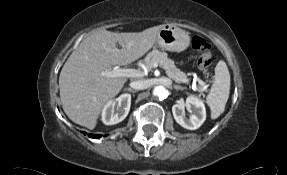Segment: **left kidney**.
<instances>
[{"label":"left kidney","instance_id":"left-kidney-1","mask_svg":"<svg viewBox=\"0 0 287 175\" xmlns=\"http://www.w3.org/2000/svg\"><path fill=\"white\" fill-rule=\"evenodd\" d=\"M186 108L191 112L190 118H186L184 109ZM172 112L176 122L182 127L195 130L198 129L206 119V109L204 103L194 96H189L186 99V104H175L172 107Z\"/></svg>","mask_w":287,"mask_h":175}]
</instances>
